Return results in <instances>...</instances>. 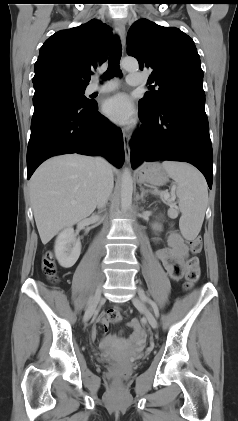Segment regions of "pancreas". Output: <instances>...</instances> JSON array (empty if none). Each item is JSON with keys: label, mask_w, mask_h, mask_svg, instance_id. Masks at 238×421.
Listing matches in <instances>:
<instances>
[{"label": "pancreas", "mask_w": 238, "mask_h": 421, "mask_svg": "<svg viewBox=\"0 0 238 421\" xmlns=\"http://www.w3.org/2000/svg\"><path fill=\"white\" fill-rule=\"evenodd\" d=\"M161 200L169 206H172L174 204L170 198H164L163 196H161Z\"/></svg>", "instance_id": "pancreas-1"}]
</instances>
